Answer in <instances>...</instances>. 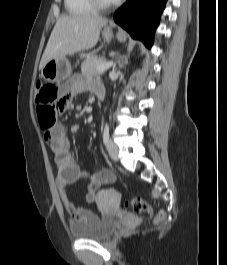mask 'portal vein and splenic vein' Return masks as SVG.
<instances>
[{
	"mask_svg": "<svg viewBox=\"0 0 227 265\" xmlns=\"http://www.w3.org/2000/svg\"><path fill=\"white\" fill-rule=\"evenodd\" d=\"M112 64H113L112 61L106 62V63H104L102 65L97 66L96 70L100 71V72H103V71L109 69L112 66Z\"/></svg>",
	"mask_w": 227,
	"mask_h": 265,
	"instance_id": "portal-vein-and-splenic-vein-1",
	"label": "portal vein and splenic vein"
}]
</instances>
